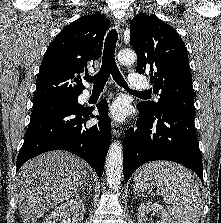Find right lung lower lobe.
<instances>
[{
  "mask_svg": "<svg viewBox=\"0 0 221 223\" xmlns=\"http://www.w3.org/2000/svg\"><path fill=\"white\" fill-rule=\"evenodd\" d=\"M100 116L92 108L62 109L31 117L23 146L17 158V170L29 159L50 151L65 150L87 161L99 177L111 140V121L106 100L97 105ZM99 122L87 126L90 118Z\"/></svg>",
  "mask_w": 221,
  "mask_h": 223,
  "instance_id": "right-lung-lower-lobe-1",
  "label": "right lung lower lobe"
}]
</instances>
